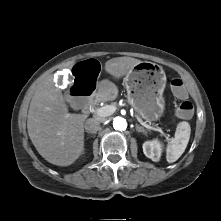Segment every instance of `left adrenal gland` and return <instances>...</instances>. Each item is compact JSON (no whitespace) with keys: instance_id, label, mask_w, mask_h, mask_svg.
I'll return each instance as SVG.
<instances>
[{"instance_id":"1","label":"left adrenal gland","mask_w":221,"mask_h":221,"mask_svg":"<svg viewBox=\"0 0 221 221\" xmlns=\"http://www.w3.org/2000/svg\"><path fill=\"white\" fill-rule=\"evenodd\" d=\"M136 130H137V132H141V133L146 134L145 129L143 127H141L140 125H136Z\"/></svg>"}]
</instances>
